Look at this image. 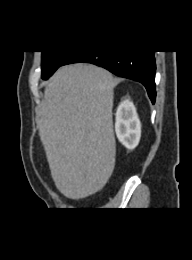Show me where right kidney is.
Listing matches in <instances>:
<instances>
[{
	"label": "right kidney",
	"mask_w": 192,
	"mask_h": 260,
	"mask_svg": "<svg viewBox=\"0 0 192 260\" xmlns=\"http://www.w3.org/2000/svg\"><path fill=\"white\" fill-rule=\"evenodd\" d=\"M115 132L118 140L129 150H133L141 137V123L135 106L129 100L120 103L115 118Z\"/></svg>",
	"instance_id": "1"
}]
</instances>
